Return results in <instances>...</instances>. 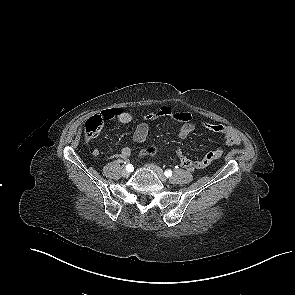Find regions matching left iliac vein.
Here are the masks:
<instances>
[{"mask_svg":"<svg viewBox=\"0 0 295 295\" xmlns=\"http://www.w3.org/2000/svg\"><path fill=\"white\" fill-rule=\"evenodd\" d=\"M147 167L149 169H151L153 172H155V174L158 176V178L166 183L167 182V178L165 177L162 169L160 167H158L157 165H154V164H148Z\"/></svg>","mask_w":295,"mask_h":295,"instance_id":"obj_1","label":"left iliac vein"}]
</instances>
